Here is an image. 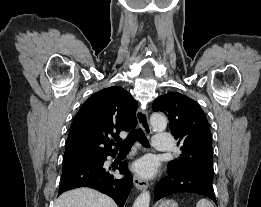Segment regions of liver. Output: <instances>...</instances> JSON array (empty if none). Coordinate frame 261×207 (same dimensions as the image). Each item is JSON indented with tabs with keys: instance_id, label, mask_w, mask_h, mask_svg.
<instances>
[{
	"instance_id": "obj_1",
	"label": "liver",
	"mask_w": 261,
	"mask_h": 207,
	"mask_svg": "<svg viewBox=\"0 0 261 207\" xmlns=\"http://www.w3.org/2000/svg\"><path fill=\"white\" fill-rule=\"evenodd\" d=\"M54 207H117V205L109 196L82 187L61 194Z\"/></svg>"
}]
</instances>
